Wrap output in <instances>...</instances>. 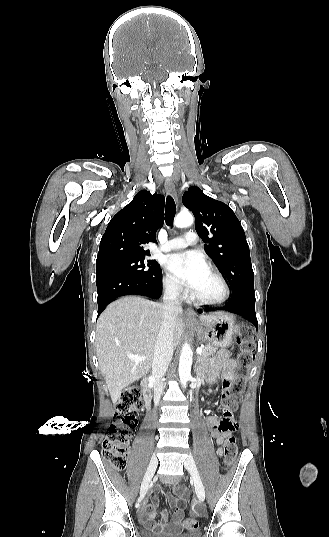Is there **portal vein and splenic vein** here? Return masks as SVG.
Instances as JSON below:
<instances>
[{"label":"portal vein and splenic vein","mask_w":329,"mask_h":537,"mask_svg":"<svg viewBox=\"0 0 329 537\" xmlns=\"http://www.w3.org/2000/svg\"><path fill=\"white\" fill-rule=\"evenodd\" d=\"M197 354L200 355L202 354L203 352V349L202 348H197ZM129 359H131L132 361H135V362H142V361H145L147 359V357L145 356H137V355H133V354H128L127 355Z\"/></svg>","instance_id":"obj_1"}]
</instances>
